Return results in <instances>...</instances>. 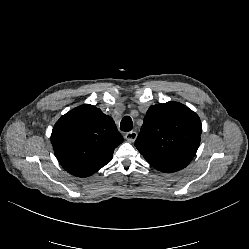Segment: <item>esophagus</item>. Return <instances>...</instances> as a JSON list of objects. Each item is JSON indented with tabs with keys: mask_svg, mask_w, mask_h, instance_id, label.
Here are the masks:
<instances>
[{
	"mask_svg": "<svg viewBox=\"0 0 249 249\" xmlns=\"http://www.w3.org/2000/svg\"><path fill=\"white\" fill-rule=\"evenodd\" d=\"M137 136L138 134L136 131H130L127 132L124 137L128 142L133 143L136 140Z\"/></svg>",
	"mask_w": 249,
	"mask_h": 249,
	"instance_id": "esophagus-1",
	"label": "esophagus"
}]
</instances>
